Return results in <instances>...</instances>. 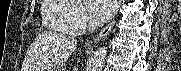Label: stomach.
I'll return each instance as SVG.
<instances>
[{"instance_id": "obj_1", "label": "stomach", "mask_w": 181, "mask_h": 71, "mask_svg": "<svg viewBox=\"0 0 181 71\" xmlns=\"http://www.w3.org/2000/svg\"><path fill=\"white\" fill-rule=\"evenodd\" d=\"M48 71H64V68L62 66H56L49 69Z\"/></svg>"}]
</instances>
